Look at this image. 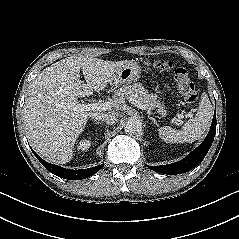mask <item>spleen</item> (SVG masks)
Segmentation results:
<instances>
[{"label":"spleen","instance_id":"1","mask_svg":"<svg viewBox=\"0 0 239 239\" xmlns=\"http://www.w3.org/2000/svg\"><path fill=\"white\" fill-rule=\"evenodd\" d=\"M213 116V106L206 93H203L199 102L198 111L194 118L189 119L181 130L170 126L161 127L159 136L166 143H192L200 139L208 130Z\"/></svg>","mask_w":239,"mask_h":239}]
</instances>
